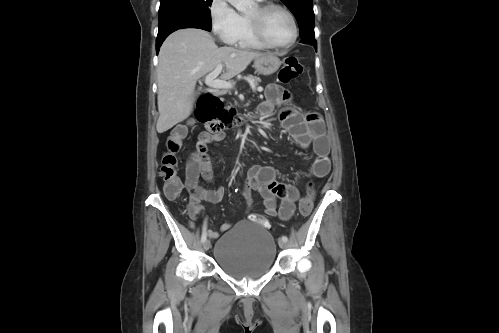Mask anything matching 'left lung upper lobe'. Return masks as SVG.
<instances>
[{
    "mask_svg": "<svg viewBox=\"0 0 499 333\" xmlns=\"http://www.w3.org/2000/svg\"><path fill=\"white\" fill-rule=\"evenodd\" d=\"M294 14L302 38H314L313 0H281Z\"/></svg>",
    "mask_w": 499,
    "mask_h": 333,
    "instance_id": "5c2ea615",
    "label": "left lung upper lobe"
}]
</instances>
